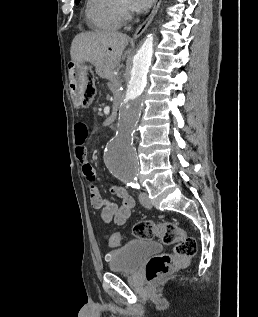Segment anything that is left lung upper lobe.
Segmentation results:
<instances>
[{"instance_id":"5c2ea615","label":"left lung upper lobe","mask_w":258,"mask_h":317,"mask_svg":"<svg viewBox=\"0 0 258 317\" xmlns=\"http://www.w3.org/2000/svg\"><path fill=\"white\" fill-rule=\"evenodd\" d=\"M80 0H76V3H79Z\"/></svg>"}]
</instances>
